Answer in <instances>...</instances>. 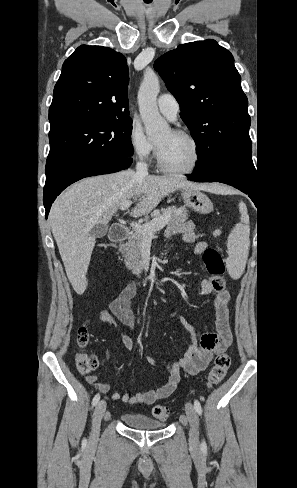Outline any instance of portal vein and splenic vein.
<instances>
[{"label": "portal vein and splenic vein", "mask_w": 297, "mask_h": 488, "mask_svg": "<svg viewBox=\"0 0 297 488\" xmlns=\"http://www.w3.org/2000/svg\"><path fill=\"white\" fill-rule=\"evenodd\" d=\"M131 204H132L131 200H126L120 205V209L126 210L131 206ZM167 222H168V215L164 214L159 218L153 219L148 224L141 225V224L133 223L131 226L135 230H138L140 233H142L144 238L151 240L153 238L154 232L163 228L167 224Z\"/></svg>", "instance_id": "portal-vein-and-splenic-vein-1"}]
</instances>
